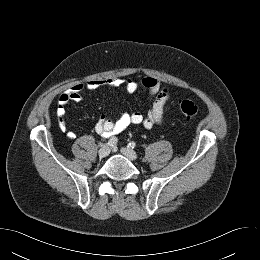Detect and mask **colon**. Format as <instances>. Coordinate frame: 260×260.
Here are the masks:
<instances>
[{"instance_id":"obj_1","label":"colon","mask_w":260,"mask_h":260,"mask_svg":"<svg viewBox=\"0 0 260 260\" xmlns=\"http://www.w3.org/2000/svg\"><path fill=\"white\" fill-rule=\"evenodd\" d=\"M180 110L183 115L189 119L194 118L199 111L197 104L191 100L182 101L180 104Z\"/></svg>"}]
</instances>
